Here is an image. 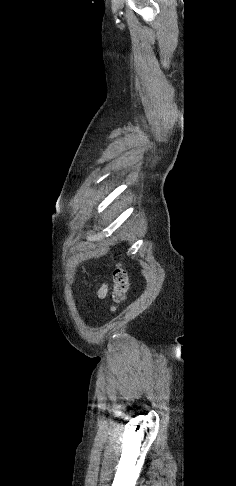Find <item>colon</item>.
I'll use <instances>...</instances> for the list:
<instances>
[{
    "instance_id": "1",
    "label": "colon",
    "mask_w": 236,
    "mask_h": 486,
    "mask_svg": "<svg viewBox=\"0 0 236 486\" xmlns=\"http://www.w3.org/2000/svg\"><path fill=\"white\" fill-rule=\"evenodd\" d=\"M113 284L111 311H115L123 303L129 287L128 273L121 262H117L115 265Z\"/></svg>"
}]
</instances>
